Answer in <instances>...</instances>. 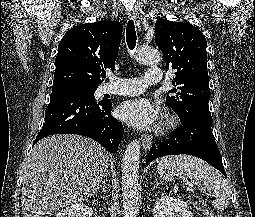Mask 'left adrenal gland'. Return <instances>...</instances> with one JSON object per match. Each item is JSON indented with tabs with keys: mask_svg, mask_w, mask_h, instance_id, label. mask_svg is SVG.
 <instances>
[{
	"mask_svg": "<svg viewBox=\"0 0 255 217\" xmlns=\"http://www.w3.org/2000/svg\"><path fill=\"white\" fill-rule=\"evenodd\" d=\"M160 183L159 182H156V186H158ZM156 186L153 188V190L156 188Z\"/></svg>",
	"mask_w": 255,
	"mask_h": 217,
	"instance_id": "a2214340",
	"label": "left adrenal gland"
}]
</instances>
